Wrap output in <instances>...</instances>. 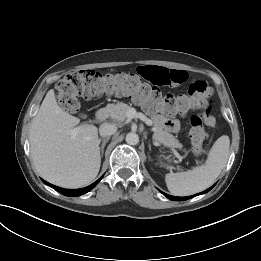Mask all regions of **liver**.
<instances>
[{
  "instance_id": "liver-1",
  "label": "liver",
  "mask_w": 261,
  "mask_h": 261,
  "mask_svg": "<svg viewBox=\"0 0 261 261\" xmlns=\"http://www.w3.org/2000/svg\"><path fill=\"white\" fill-rule=\"evenodd\" d=\"M63 111L50 89L31 122L29 141L33 164L48 182L80 188L98 175L101 157L98 129ZM76 129L75 132H72Z\"/></svg>"
}]
</instances>
